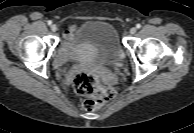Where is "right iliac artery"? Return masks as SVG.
<instances>
[{"instance_id":"right-iliac-artery-1","label":"right iliac artery","mask_w":194,"mask_h":133,"mask_svg":"<svg viewBox=\"0 0 194 133\" xmlns=\"http://www.w3.org/2000/svg\"><path fill=\"white\" fill-rule=\"evenodd\" d=\"M47 23H48V25H51L52 24V21L49 20Z\"/></svg>"}]
</instances>
